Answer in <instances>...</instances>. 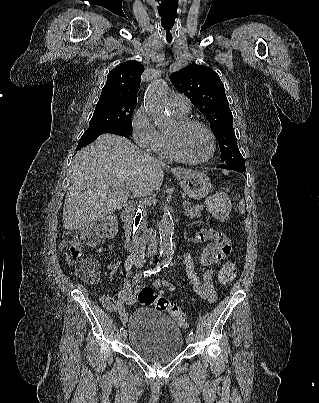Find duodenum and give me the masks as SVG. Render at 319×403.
Listing matches in <instances>:
<instances>
[{"label":"duodenum","mask_w":319,"mask_h":403,"mask_svg":"<svg viewBox=\"0 0 319 403\" xmlns=\"http://www.w3.org/2000/svg\"><path fill=\"white\" fill-rule=\"evenodd\" d=\"M137 211V204L134 201H128L121 213L122 227L126 237V246L130 251L143 253L146 246L155 238L154 228L146 229L142 235L138 234L134 224V217Z\"/></svg>","instance_id":"1"}]
</instances>
